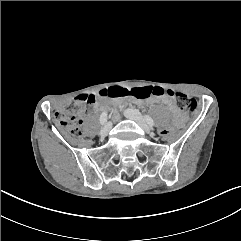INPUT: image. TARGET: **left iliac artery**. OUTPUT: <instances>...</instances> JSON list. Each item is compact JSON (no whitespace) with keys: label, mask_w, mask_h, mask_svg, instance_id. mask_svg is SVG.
<instances>
[{"label":"left iliac artery","mask_w":241,"mask_h":241,"mask_svg":"<svg viewBox=\"0 0 241 241\" xmlns=\"http://www.w3.org/2000/svg\"><path fill=\"white\" fill-rule=\"evenodd\" d=\"M145 120L149 125L154 126V120L150 116L145 115Z\"/></svg>","instance_id":"1"}]
</instances>
